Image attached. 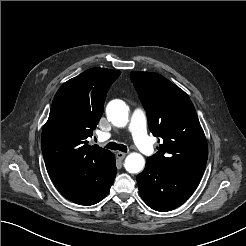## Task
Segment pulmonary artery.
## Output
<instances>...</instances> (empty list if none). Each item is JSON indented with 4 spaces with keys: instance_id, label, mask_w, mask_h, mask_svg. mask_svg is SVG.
<instances>
[{
    "instance_id": "e3ab8cb5",
    "label": "pulmonary artery",
    "mask_w": 246,
    "mask_h": 246,
    "mask_svg": "<svg viewBox=\"0 0 246 246\" xmlns=\"http://www.w3.org/2000/svg\"><path fill=\"white\" fill-rule=\"evenodd\" d=\"M128 131L130 132L134 143L143 154L145 155L152 154L153 146L147 135V117L142 109L137 108L132 113L128 125ZM100 137L101 139L106 140L110 137V134L104 133L101 134Z\"/></svg>"
}]
</instances>
